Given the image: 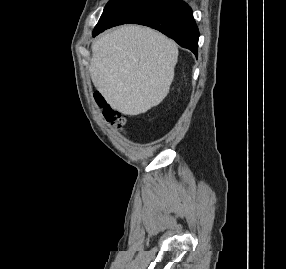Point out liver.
I'll return each instance as SVG.
<instances>
[{"label": "liver", "mask_w": 286, "mask_h": 269, "mask_svg": "<svg viewBox=\"0 0 286 269\" xmlns=\"http://www.w3.org/2000/svg\"><path fill=\"white\" fill-rule=\"evenodd\" d=\"M178 48L163 34L124 25L92 45L89 72L94 86L115 110L130 116L147 112L169 92Z\"/></svg>", "instance_id": "1"}]
</instances>
